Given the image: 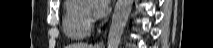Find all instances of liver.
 Listing matches in <instances>:
<instances>
[{
  "mask_svg": "<svg viewBox=\"0 0 213 48\" xmlns=\"http://www.w3.org/2000/svg\"><path fill=\"white\" fill-rule=\"evenodd\" d=\"M67 48H93L92 45H89L87 43H76L73 45H69Z\"/></svg>",
  "mask_w": 213,
  "mask_h": 48,
  "instance_id": "liver-1",
  "label": "liver"
}]
</instances>
